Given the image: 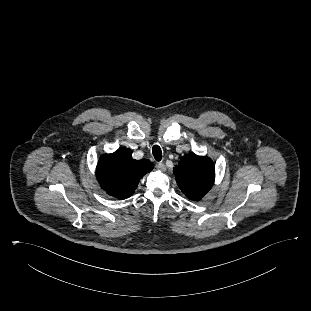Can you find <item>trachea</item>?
<instances>
[{
  "mask_svg": "<svg viewBox=\"0 0 311 311\" xmlns=\"http://www.w3.org/2000/svg\"><path fill=\"white\" fill-rule=\"evenodd\" d=\"M152 153L156 161H160L162 159V151L158 145L153 146Z\"/></svg>",
  "mask_w": 311,
  "mask_h": 311,
  "instance_id": "3493384b",
  "label": "trachea"
}]
</instances>
